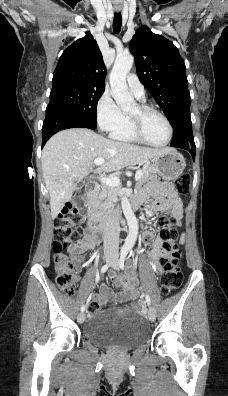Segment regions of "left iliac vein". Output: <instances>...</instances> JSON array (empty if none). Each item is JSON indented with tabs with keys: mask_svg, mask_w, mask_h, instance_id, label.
<instances>
[{
	"mask_svg": "<svg viewBox=\"0 0 228 396\" xmlns=\"http://www.w3.org/2000/svg\"><path fill=\"white\" fill-rule=\"evenodd\" d=\"M112 267H113L114 269H118V259H117L116 256L114 257V260H113V262H112ZM148 318H149V320H150L151 322L155 321V319H156V313H155V310H154L153 308H150V309H149V311H148Z\"/></svg>",
	"mask_w": 228,
	"mask_h": 396,
	"instance_id": "left-iliac-vein-1",
	"label": "left iliac vein"
}]
</instances>
